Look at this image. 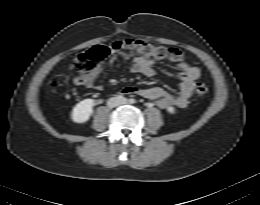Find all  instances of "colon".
<instances>
[{"instance_id":"5ec220e1","label":"colon","mask_w":260,"mask_h":205,"mask_svg":"<svg viewBox=\"0 0 260 205\" xmlns=\"http://www.w3.org/2000/svg\"><path fill=\"white\" fill-rule=\"evenodd\" d=\"M112 50L123 51L128 55H138L148 59L167 60L172 63L182 61V53L177 48H171L161 45H153L137 40H123L112 44ZM108 47L97 45L86 52L77 55L74 59L73 66L81 74L93 71L100 62H102L107 54ZM58 86V81L52 79L49 82V88L55 90ZM209 92V88L205 83L198 82L194 86V95L199 98L205 97Z\"/></svg>"}]
</instances>
